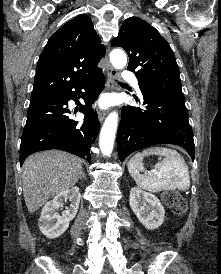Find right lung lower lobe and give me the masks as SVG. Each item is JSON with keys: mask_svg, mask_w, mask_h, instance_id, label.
<instances>
[{"mask_svg": "<svg viewBox=\"0 0 221 274\" xmlns=\"http://www.w3.org/2000/svg\"><path fill=\"white\" fill-rule=\"evenodd\" d=\"M84 89L85 92L81 90ZM104 89V75L100 71L95 76L79 82L64 92L30 101L27 121L20 146V165L28 155L42 150L59 149L91 161L90 147L100 129V122L91 104ZM81 96L85 105L79 103V111L84 113L83 121L69 118V100L77 101ZM78 111V109H77Z\"/></svg>", "mask_w": 221, "mask_h": 274, "instance_id": "98d812e1", "label": "right lung lower lobe"}]
</instances>
